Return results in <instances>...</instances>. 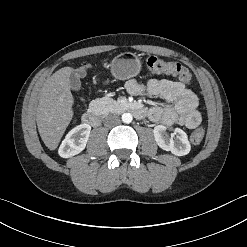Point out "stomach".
Masks as SVG:
<instances>
[{"label": "stomach", "mask_w": 247, "mask_h": 247, "mask_svg": "<svg viewBox=\"0 0 247 247\" xmlns=\"http://www.w3.org/2000/svg\"><path fill=\"white\" fill-rule=\"evenodd\" d=\"M129 52L122 53L111 62V73L119 80H127L138 75L141 62Z\"/></svg>", "instance_id": "0dacf381"}]
</instances>
